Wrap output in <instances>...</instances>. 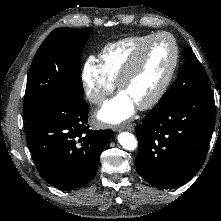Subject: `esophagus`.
Masks as SVG:
<instances>
[{
	"label": "esophagus",
	"mask_w": 221,
	"mask_h": 221,
	"mask_svg": "<svg viewBox=\"0 0 221 221\" xmlns=\"http://www.w3.org/2000/svg\"><path fill=\"white\" fill-rule=\"evenodd\" d=\"M116 130L117 131H121V130L133 131L134 130V125L133 124L121 125V126L117 127Z\"/></svg>",
	"instance_id": "34e87169"
}]
</instances>
